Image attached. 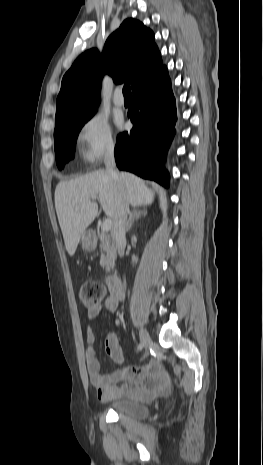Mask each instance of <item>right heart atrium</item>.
I'll return each mask as SVG.
<instances>
[{"instance_id": "obj_1", "label": "right heart atrium", "mask_w": 263, "mask_h": 465, "mask_svg": "<svg viewBox=\"0 0 263 465\" xmlns=\"http://www.w3.org/2000/svg\"><path fill=\"white\" fill-rule=\"evenodd\" d=\"M77 144L83 161L95 165L111 156L117 143L108 120L101 114L95 113L80 126Z\"/></svg>"}]
</instances>
